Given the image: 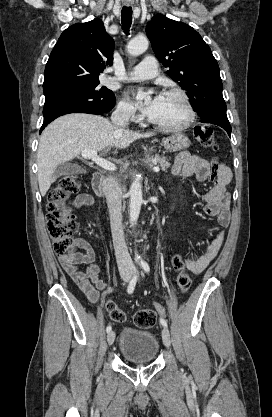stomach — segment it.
<instances>
[{
	"label": "stomach",
	"mask_w": 272,
	"mask_h": 417,
	"mask_svg": "<svg viewBox=\"0 0 272 417\" xmlns=\"http://www.w3.org/2000/svg\"><path fill=\"white\" fill-rule=\"evenodd\" d=\"M163 147L168 151H181L190 146L188 137L180 132H175L172 135L162 140Z\"/></svg>",
	"instance_id": "1"
}]
</instances>
